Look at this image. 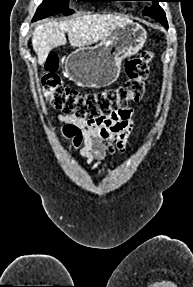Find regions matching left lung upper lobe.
I'll list each match as a JSON object with an SVG mask.
<instances>
[{
	"mask_svg": "<svg viewBox=\"0 0 193 287\" xmlns=\"http://www.w3.org/2000/svg\"><path fill=\"white\" fill-rule=\"evenodd\" d=\"M149 1H152L153 5L150 8L145 9L144 15H147L159 21L163 26L167 27L168 24H167L165 12L158 4L162 0H149Z\"/></svg>",
	"mask_w": 193,
	"mask_h": 287,
	"instance_id": "obj_1",
	"label": "left lung upper lobe"
}]
</instances>
